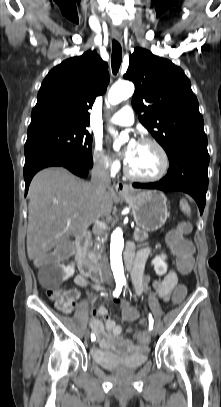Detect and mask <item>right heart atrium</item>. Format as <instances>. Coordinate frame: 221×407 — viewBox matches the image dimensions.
Here are the masks:
<instances>
[{
	"label": "right heart atrium",
	"instance_id": "1",
	"mask_svg": "<svg viewBox=\"0 0 221 407\" xmlns=\"http://www.w3.org/2000/svg\"><path fill=\"white\" fill-rule=\"evenodd\" d=\"M93 162L95 167L103 172L114 173L119 168V162L107 155L99 142L93 150Z\"/></svg>",
	"mask_w": 221,
	"mask_h": 407
}]
</instances>
